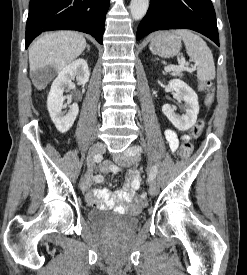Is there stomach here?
Listing matches in <instances>:
<instances>
[{
  "label": "stomach",
  "instance_id": "obj_1",
  "mask_svg": "<svg viewBox=\"0 0 247 275\" xmlns=\"http://www.w3.org/2000/svg\"><path fill=\"white\" fill-rule=\"evenodd\" d=\"M150 49L162 57H173L181 49V38L173 33H162L152 39Z\"/></svg>",
  "mask_w": 247,
  "mask_h": 275
}]
</instances>
